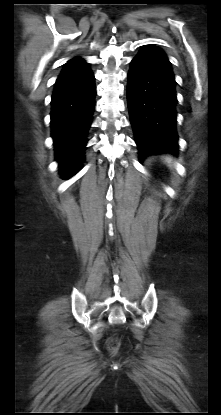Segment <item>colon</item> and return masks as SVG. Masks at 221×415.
<instances>
[{"mask_svg":"<svg viewBox=\"0 0 221 415\" xmlns=\"http://www.w3.org/2000/svg\"><path fill=\"white\" fill-rule=\"evenodd\" d=\"M117 346H118V343H117V341H116L115 339H110V340H108V342H107V347H108L110 350H114Z\"/></svg>","mask_w":221,"mask_h":415,"instance_id":"colon-1","label":"colon"}]
</instances>
